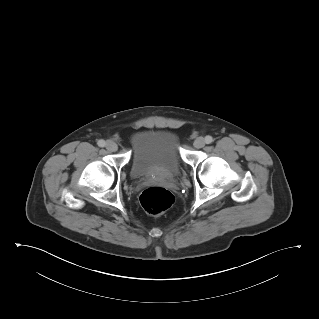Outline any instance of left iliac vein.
<instances>
[{"label":"left iliac vein","instance_id":"left-iliac-vein-1","mask_svg":"<svg viewBox=\"0 0 319 319\" xmlns=\"http://www.w3.org/2000/svg\"><path fill=\"white\" fill-rule=\"evenodd\" d=\"M193 145H194V147H196V148H198V149L204 147V145H205V140H204V138H202V137L196 138V139L194 140Z\"/></svg>","mask_w":319,"mask_h":319}]
</instances>
